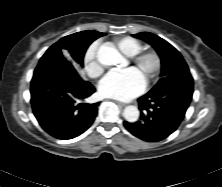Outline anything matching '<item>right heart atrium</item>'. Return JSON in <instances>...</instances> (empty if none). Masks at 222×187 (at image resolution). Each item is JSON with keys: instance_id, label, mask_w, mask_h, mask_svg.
Wrapping results in <instances>:
<instances>
[{"instance_id": "right-heart-atrium-1", "label": "right heart atrium", "mask_w": 222, "mask_h": 187, "mask_svg": "<svg viewBox=\"0 0 222 187\" xmlns=\"http://www.w3.org/2000/svg\"><path fill=\"white\" fill-rule=\"evenodd\" d=\"M99 42L92 43L83 56V69L90 77H98L103 72V66L98 60Z\"/></svg>"}]
</instances>
